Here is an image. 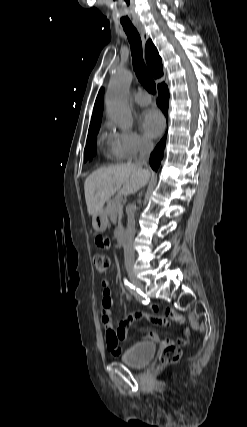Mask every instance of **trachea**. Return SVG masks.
Masks as SVG:
<instances>
[{
	"label": "trachea",
	"mask_w": 247,
	"mask_h": 427,
	"mask_svg": "<svg viewBox=\"0 0 247 427\" xmlns=\"http://www.w3.org/2000/svg\"><path fill=\"white\" fill-rule=\"evenodd\" d=\"M123 29L130 43L132 61L137 78L149 93L155 94V82L143 60L140 35L137 32L136 28L132 25H123Z\"/></svg>",
	"instance_id": "trachea-1"
}]
</instances>
